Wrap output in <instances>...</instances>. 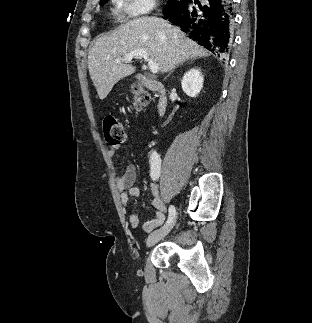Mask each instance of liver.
I'll use <instances>...</instances> for the list:
<instances>
[{
    "instance_id": "liver-1",
    "label": "liver",
    "mask_w": 312,
    "mask_h": 323,
    "mask_svg": "<svg viewBox=\"0 0 312 323\" xmlns=\"http://www.w3.org/2000/svg\"><path fill=\"white\" fill-rule=\"evenodd\" d=\"M134 50L147 52L149 60L158 64L162 74L186 60L210 56L208 50L186 38L180 28L171 26L167 20L154 16L130 20L113 34L98 38L88 54L90 78L100 100L108 96L119 80L134 74L136 68L130 62L115 64V60Z\"/></svg>"
}]
</instances>
